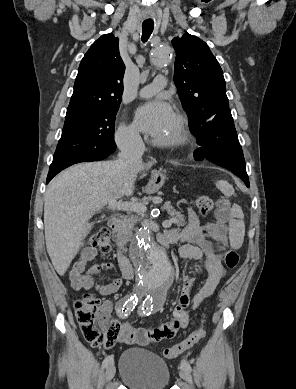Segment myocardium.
Instances as JSON below:
<instances>
[{
  "instance_id": "f54148a6",
  "label": "myocardium",
  "mask_w": 296,
  "mask_h": 389,
  "mask_svg": "<svg viewBox=\"0 0 296 389\" xmlns=\"http://www.w3.org/2000/svg\"><path fill=\"white\" fill-rule=\"evenodd\" d=\"M175 129L172 136L168 138H157L154 142L163 147H176L187 140L186 120L180 114L174 115Z\"/></svg>"
}]
</instances>
